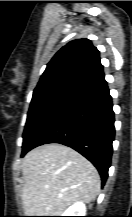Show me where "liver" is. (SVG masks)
<instances>
[{"instance_id": "1", "label": "liver", "mask_w": 132, "mask_h": 217, "mask_svg": "<svg viewBox=\"0 0 132 217\" xmlns=\"http://www.w3.org/2000/svg\"><path fill=\"white\" fill-rule=\"evenodd\" d=\"M21 168L26 216H60L71 204L89 203L100 192V176L93 164L62 144L31 150Z\"/></svg>"}]
</instances>
